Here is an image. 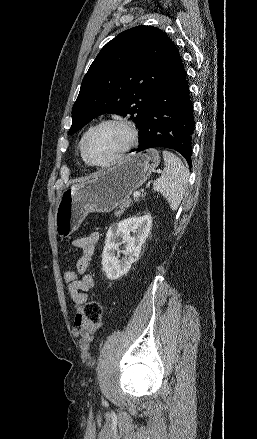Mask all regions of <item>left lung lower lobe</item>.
I'll use <instances>...</instances> for the list:
<instances>
[{"label": "left lung lower lobe", "mask_w": 257, "mask_h": 439, "mask_svg": "<svg viewBox=\"0 0 257 439\" xmlns=\"http://www.w3.org/2000/svg\"><path fill=\"white\" fill-rule=\"evenodd\" d=\"M195 129L189 86L178 53L166 79L152 98L139 129V146L131 150L164 147L176 150L192 166V138Z\"/></svg>", "instance_id": "left-lung-lower-lobe-1"}]
</instances>
